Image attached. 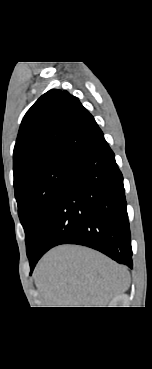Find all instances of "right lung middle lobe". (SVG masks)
Listing matches in <instances>:
<instances>
[{
	"instance_id": "1",
	"label": "right lung middle lobe",
	"mask_w": 152,
	"mask_h": 369,
	"mask_svg": "<svg viewBox=\"0 0 152 369\" xmlns=\"http://www.w3.org/2000/svg\"><path fill=\"white\" fill-rule=\"evenodd\" d=\"M73 162L58 161L25 175L14 186L28 258L64 185Z\"/></svg>"
}]
</instances>
